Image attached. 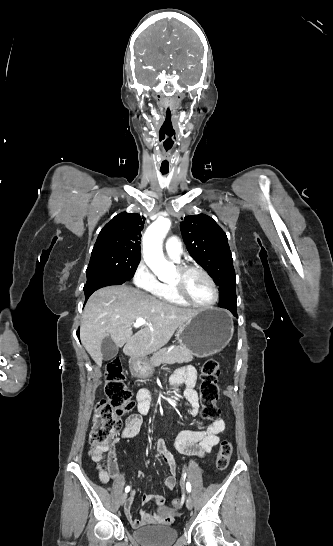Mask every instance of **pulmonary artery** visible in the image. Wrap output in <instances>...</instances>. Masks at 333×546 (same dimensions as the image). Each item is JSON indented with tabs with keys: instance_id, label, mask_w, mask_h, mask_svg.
Returning <instances> with one entry per match:
<instances>
[{
	"instance_id": "e3ab8cb5",
	"label": "pulmonary artery",
	"mask_w": 333,
	"mask_h": 546,
	"mask_svg": "<svg viewBox=\"0 0 333 546\" xmlns=\"http://www.w3.org/2000/svg\"><path fill=\"white\" fill-rule=\"evenodd\" d=\"M165 250L168 256L178 261L182 253L181 242L176 236L168 238L165 243Z\"/></svg>"
}]
</instances>
